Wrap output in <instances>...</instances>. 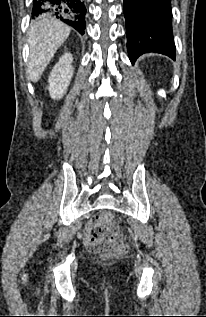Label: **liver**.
I'll return each mask as SVG.
<instances>
[{
  "label": "liver",
  "mask_w": 206,
  "mask_h": 317,
  "mask_svg": "<svg viewBox=\"0 0 206 317\" xmlns=\"http://www.w3.org/2000/svg\"><path fill=\"white\" fill-rule=\"evenodd\" d=\"M70 31L69 26L53 17H42L33 22L28 38V71L32 82L40 79L57 49L68 38Z\"/></svg>",
  "instance_id": "obj_1"
}]
</instances>
